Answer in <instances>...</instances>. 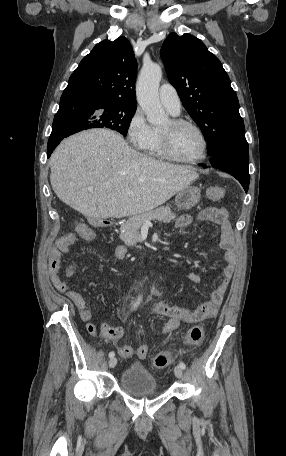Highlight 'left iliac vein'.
I'll use <instances>...</instances> for the list:
<instances>
[{
    "mask_svg": "<svg viewBox=\"0 0 286 456\" xmlns=\"http://www.w3.org/2000/svg\"><path fill=\"white\" fill-rule=\"evenodd\" d=\"M174 373H175V376L179 379H181L183 377V369L180 368L179 366H176L174 368Z\"/></svg>",
    "mask_w": 286,
    "mask_h": 456,
    "instance_id": "1",
    "label": "left iliac vein"
}]
</instances>
